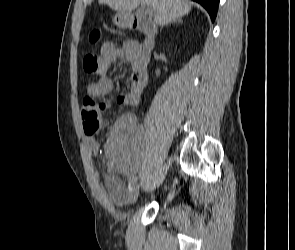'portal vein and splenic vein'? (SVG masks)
I'll list each match as a JSON object with an SVG mask.
<instances>
[{
    "label": "portal vein and splenic vein",
    "instance_id": "18ae733b",
    "mask_svg": "<svg viewBox=\"0 0 295 250\" xmlns=\"http://www.w3.org/2000/svg\"><path fill=\"white\" fill-rule=\"evenodd\" d=\"M146 12H147L149 15H152V14H153V10H152V8L149 7V6L146 8Z\"/></svg>",
    "mask_w": 295,
    "mask_h": 250
}]
</instances>
